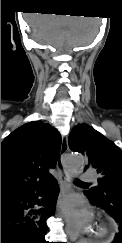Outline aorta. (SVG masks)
<instances>
[{
  "instance_id": "762f6f07",
  "label": "aorta",
  "mask_w": 122,
  "mask_h": 243,
  "mask_svg": "<svg viewBox=\"0 0 122 243\" xmlns=\"http://www.w3.org/2000/svg\"><path fill=\"white\" fill-rule=\"evenodd\" d=\"M66 169L71 177H75L83 171L84 160L81 156L70 155L66 159ZM76 243H87L85 239L79 240Z\"/></svg>"
}]
</instances>
